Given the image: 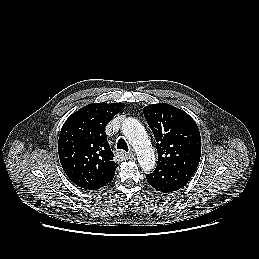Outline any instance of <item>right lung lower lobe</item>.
Listing matches in <instances>:
<instances>
[{
	"instance_id": "obj_1",
	"label": "right lung lower lobe",
	"mask_w": 259,
	"mask_h": 259,
	"mask_svg": "<svg viewBox=\"0 0 259 259\" xmlns=\"http://www.w3.org/2000/svg\"><path fill=\"white\" fill-rule=\"evenodd\" d=\"M114 175H112L111 177H109L108 179H106L105 181H103L102 183L90 188L89 190H97L103 186H105L106 184H108L110 181H112Z\"/></svg>"
}]
</instances>
